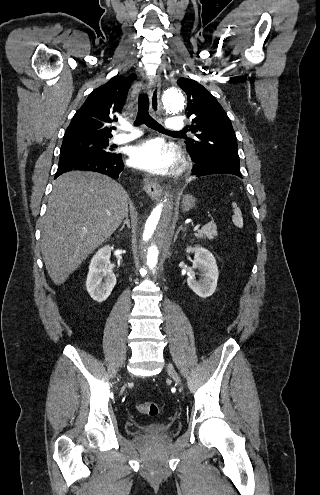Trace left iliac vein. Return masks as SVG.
Wrapping results in <instances>:
<instances>
[{
	"label": "left iliac vein",
	"mask_w": 320,
	"mask_h": 495,
	"mask_svg": "<svg viewBox=\"0 0 320 495\" xmlns=\"http://www.w3.org/2000/svg\"><path fill=\"white\" fill-rule=\"evenodd\" d=\"M167 372L169 376L177 383L180 384V377L171 365H167Z\"/></svg>",
	"instance_id": "obj_1"
}]
</instances>
